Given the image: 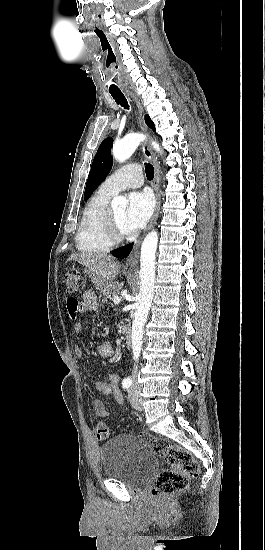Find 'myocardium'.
I'll list each match as a JSON object with an SVG mask.
<instances>
[{
  "instance_id": "obj_1",
  "label": "myocardium",
  "mask_w": 265,
  "mask_h": 550,
  "mask_svg": "<svg viewBox=\"0 0 265 550\" xmlns=\"http://www.w3.org/2000/svg\"><path fill=\"white\" fill-rule=\"evenodd\" d=\"M104 228L108 239L112 244H117L124 241L128 237V233L120 229L115 216L110 208L107 210Z\"/></svg>"
}]
</instances>
